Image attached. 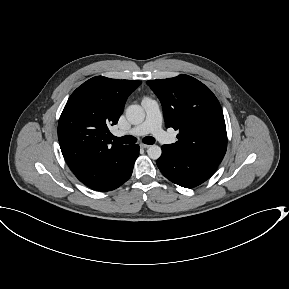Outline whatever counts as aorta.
I'll list each match as a JSON object with an SVG mask.
<instances>
[{
  "instance_id": "aorta-1",
  "label": "aorta",
  "mask_w": 289,
  "mask_h": 289,
  "mask_svg": "<svg viewBox=\"0 0 289 289\" xmlns=\"http://www.w3.org/2000/svg\"><path fill=\"white\" fill-rule=\"evenodd\" d=\"M126 118L131 124L138 125L144 121V109L140 105H130L126 109ZM147 153L151 159L157 160L161 156L162 150L158 145H151Z\"/></svg>"
}]
</instances>
